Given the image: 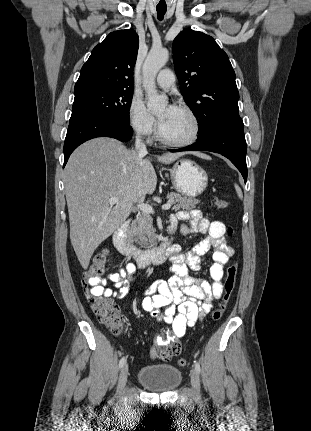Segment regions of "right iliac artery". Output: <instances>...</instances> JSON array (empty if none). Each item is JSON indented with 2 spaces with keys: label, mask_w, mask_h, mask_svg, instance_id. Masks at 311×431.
I'll list each match as a JSON object with an SVG mask.
<instances>
[{
  "label": "right iliac artery",
  "mask_w": 311,
  "mask_h": 431,
  "mask_svg": "<svg viewBox=\"0 0 311 431\" xmlns=\"http://www.w3.org/2000/svg\"><path fill=\"white\" fill-rule=\"evenodd\" d=\"M125 362H126V358H125V357H122V358L120 359V361H119V368H122V367H123V365L125 364Z\"/></svg>",
  "instance_id": "right-iliac-artery-1"
}]
</instances>
